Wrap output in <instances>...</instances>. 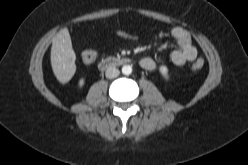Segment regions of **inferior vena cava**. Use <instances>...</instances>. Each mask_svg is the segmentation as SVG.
Wrapping results in <instances>:
<instances>
[{
  "mask_svg": "<svg viewBox=\"0 0 248 165\" xmlns=\"http://www.w3.org/2000/svg\"><path fill=\"white\" fill-rule=\"evenodd\" d=\"M119 74L120 71L116 67H109L105 72L106 77L109 79L116 78Z\"/></svg>",
  "mask_w": 248,
  "mask_h": 165,
  "instance_id": "1",
  "label": "inferior vena cava"
}]
</instances>
